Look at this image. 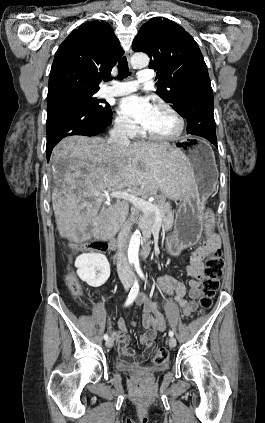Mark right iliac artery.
I'll use <instances>...</instances> for the list:
<instances>
[{"label":"right iliac artery","instance_id":"82829eb1","mask_svg":"<svg viewBox=\"0 0 265 423\" xmlns=\"http://www.w3.org/2000/svg\"><path fill=\"white\" fill-rule=\"evenodd\" d=\"M138 292H139V284H138V280L135 278L133 287L131 288L129 295H128V298L125 302V306L130 305L135 300L136 296L138 295ZM103 337H104L105 340L108 339L107 334H104Z\"/></svg>","mask_w":265,"mask_h":423}]
</instances>
